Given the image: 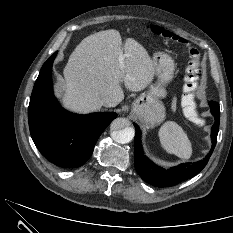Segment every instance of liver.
<instances>
[{
	"instance_id": "liver-1",
	"label": "liver",
	"mask_w": 233,
	"mask_h": 233,
	"mask_svg": "<svg viewBox=\"0 0 233 233\" xmlns=\"http://www.w3.org/2000/svg\"><path fill=\"white\" fill-rule=\"evenodd\" d=\"M124 52V66L118 57ZM61 89L63 105L78 113L100 110L109 96L115 106L124 99L120 83L138 92L153 80L154 66L146 49L133 38L122 48L117 30H105L84 38L74 49L64 68Z\"/></svg>"
}]
</instances>
